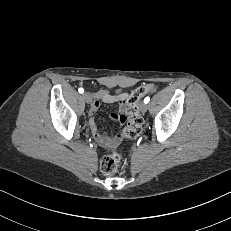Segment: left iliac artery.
Here are the masks:
<instances>
[{
  "label": "left iliac artery",
  "mask_w": 231,
  "mask_h": 231,
  "mask_svg": "<svg viewBox=\"0 0 231 231\" xmlns=\"http://www.w3.org/2000/svg\"><path fill=\"white\" fill-rule=\"evenodd\" d=\"M149 100H150V97H146L145 99H144V103H148L149 102Z\"/></svg>",
  "instance_id": "1"
}]
</instances>
